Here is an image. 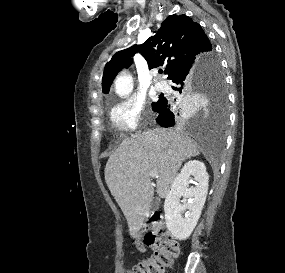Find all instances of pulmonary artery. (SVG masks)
Here are the masks:
<instances>
[{"mask_svg": "<svg viewBox=\"0 0 285 273\" xmlns=\"http://www.w3.org/2000/svg\"><path fill=\"white\" fill-rule=\"evenodd\" d=\"M168 88H169V85L165 81L159 80L155 83V89L157 91H166L168 90Z\"/></svg>", "mask_w": 285, "mask_h": 273, "instance_id": "e3ab8cb5", "label": "pulmonary artery"}]
</instances>
